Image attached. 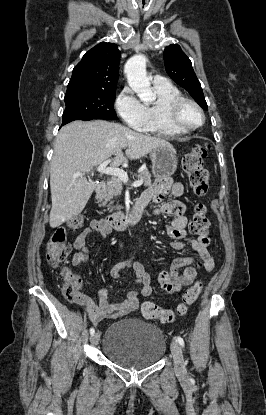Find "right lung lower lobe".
<instances>
[{"instance_id":"1","label":"right lung lower lobe","mask_w":266,"mask_h":415,"mask_svg":"<svg viewBox=\"0 0 266 415\" xmlns=\"http://www.w3.org/2000/svg\"><path fill=\"white\" fill-rule=\"evenodd\" d=\"M69 122H71V121H64V122H62V125H65V124H67Z\"/></svg>"}]
</instances>
